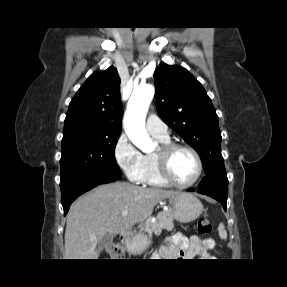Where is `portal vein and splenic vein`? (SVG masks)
Wrapping results in <instances>:
<instances>
[{"label": "portal vein and splenic vein", "instance_id": "1", "mask_svg": "<svg viewBox=\"0 0 287 287\" xmlns=\"http://www.w3.org/2000/svg\"><path fill=\"white\" fill-rule=\"evenodd\" d=\"M127 214H128V210H124V211H122V213H121L122 216H127Z\"/></svg>", "mask_w": 287, "mask_h": 287}]
</instances>
